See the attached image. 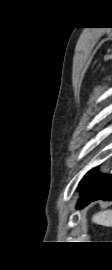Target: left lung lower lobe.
<instances>
[{
    "label": "left lung lower lobe",
    "instance_id": "0a47b994",
    "mask_svg": "<svg viewBox=\"0 0 112 270\" xmlns=\"http://www.w3.org/2000/svg\"><path fill=\"white\" fill-rule=\"evenodd\" d=\"M78 192L80 199L77 208H83L98 199L112 201V175L99 174L94 168L80 181Z\"/></svg>",
    "mask_w": 112,
    "mask_h": 270
}]
</instances>
